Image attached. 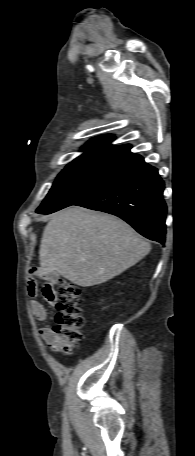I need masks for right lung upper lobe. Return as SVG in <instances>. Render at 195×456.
<instances>
[{
	"instance_id": "1",
	"label": "right lung upper lobe",
	"mask_w": 195,
	"mask_h": 456,
	"mask_svg": "<svg viewBox=\"0 0 195 456\" xmlns=\"http://www.w3.org/2000/svg\"><path fill=\"white\" fill-rule=\"evenodd\" d=\"M113 135H103L88 141L86 151L71 163H92L121 168L123 170L139 163L143 157L130 151L131 145H112Z\"/></svg>"
}]
</instances>
